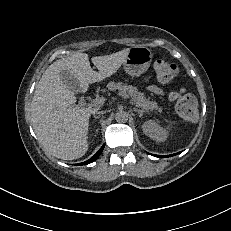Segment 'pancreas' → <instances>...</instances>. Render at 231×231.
Here are the masks:
<instances>
[{
	"instance_id": "pancreas-1",
	"label": "pancreas",
	"mask_w": 231,
	"mask_h": 231,
	"mask_svg": "<svg viewBox=\"0 0 231 231\" xmlns=\"http://www.w3.org/2000/svg\"><path fill=\"white\" fill-rule=\"evenodd\" d=\"M107 88L108 90H112V91L118 90L119 92H125L129 94L132 97L133 103L136 106L141 107L145 111L154 110L159 113L162 112V108L159 107L156 102L150 101L148 98L144 96L143 93L138 91L137 88L133 87L132 85H128L122 82H118V83L109 82L107 84Z\"/></svg>"
}]
</instances>
